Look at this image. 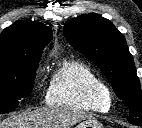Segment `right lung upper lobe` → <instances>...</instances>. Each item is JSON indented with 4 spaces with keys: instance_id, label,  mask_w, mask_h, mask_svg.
<instances>
[{
    "instance_id": "cb5924a9",
    "label": "right lung upper lobe",
    "mask_w": 142,
    "mask_h": 128,
    "mask_svg": "<svg viewBox=\"0 0 142 128\" xmlns=\"http://www.w3.org/2000/svg\"><path fill=\"white\" fill-rule=\"evenodd\" d=\"M50 27L36 22L17 21L0 35V75H14L41 57L50 42Z\"/></svg>"
}]
</instances>
